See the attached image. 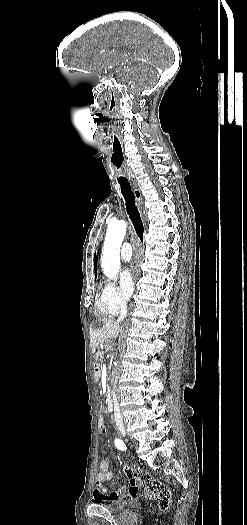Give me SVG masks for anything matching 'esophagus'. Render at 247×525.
<instances>
[{
    "label": "esophagus",
    "instance_id": "esophagus-1",
    "mask_svg": "<svg viewBox=\"0 0 247 525\" xmlns=\"http://www.w3.org/2000/svg\"><path fill=\"white\" fill-rule=\"evenodd\" d=\"M132 183L134 184L135 180H132ZM133 191H134V195H135L136 201L138 202L139 206H141L142 197H141L140 190L134 185L133 186Z\"/></svg>",
    "mask_w": 247,
    "mask_h": 525
}]
</instances>
